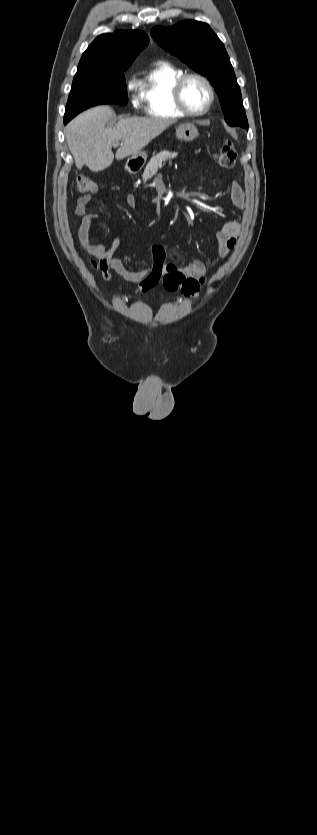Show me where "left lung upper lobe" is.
I'll return each mask as SVG.
<instances>
[{
    "instance_id": "left-lung-upper-lobe-1",
    "label": "left lung upper lobe",
    "mask_w": 317,
    "mask_h": 835,
    "mask_svg": "<svg viewBox=\"0 0 317 835\" xmlns=\"http://www.w3.org/2000/svg\"><path fill=\"white\" fill-rule=\"evenodd\" d=\"M151 35L166 51L210 80L228 125L248 130L234 69L223 43L208 24L185 20L172 27H154Z\"/></svg>"
}]
</instances>
